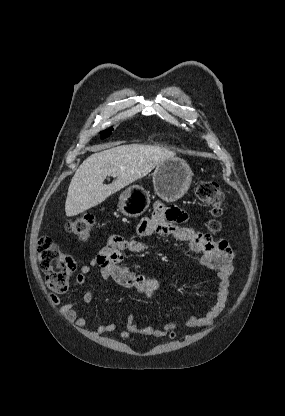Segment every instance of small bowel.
<instances>
[{"label": "small bowel", "mask_w": 285, "mask_h": 416, "mask_svg": "<svg viewBox=\"0 0 285 416\" xmlns=\"http://www.w3.org/2000/svg\"><path fill=\"white\" fill-rule=\"evenodd\" d=\"M188 215L177 207H167L162 202H157L150 217L144 218L138 226V234L142 237L153 235L168 236L177 241L188 242V250L201 254V262L204 266L217 270L219 280L217 293L213 304L207 312L200 316H190L186 320L188 327H208L223 312L230 293V282L233 273V251L224 238L213 239L209 234L198 232L191 227L184 226ZM148 249V245L134 239H124L120 236H112L106 245L88 263L80 268L76 276V283L83 285L87 275L94 268H98L100 275L105 280H113L118 285L134 289L140 294L151 297L159 287V281L152 275L133 272L124 262V252L141 253ZM50 301L59 306V312L64 319L81 329L87 321L84 316L78 314L76 306L79 303L88 304L93 301L92 291H86L78 301L63 303L55 294H50ZM116 330L114 322L99 324L96 333L99 335L111 333ZM133 334L153 335L161 337L167 332L152 326L141 327L134 322L131 315L128 316L126 325L120 330V337L128 339Z\"/></svg>", "instance_id": "obj_1"}]
</instances>
